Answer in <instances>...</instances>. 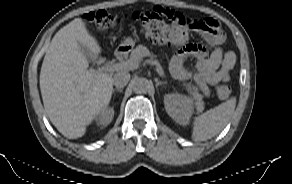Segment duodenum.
<instances>
[{"mask_svg": "<svg viewBox=\"0 0 292 184\" xmlns=\"http://www.w3.org/2000/svg\"><path fill=\"white\" fill-rule=\"evenodd\" d=\"M128 50L126 48H118L115 52H114V56L116 59L121 60L123 58H125V56L127 55Z\"/></svg>", "mask_w": 292, "mask_h": 184, "instance_id": "obj_1", "label": "duodenum"}]
</instances>
